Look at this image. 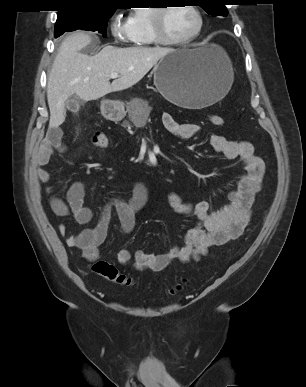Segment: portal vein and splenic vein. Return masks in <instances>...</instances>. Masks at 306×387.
I'll return each instance as SVG.
<instances>
[{"label": "portal vein and splenic vein", "mask_w": 306, "mask_h": 387, "mask_svg": "<svg viewBox=\"0 0 306 387\" xmlns=\"http://www.w3.org/2000/svg\"><path fill=\"white\" fill-rule=\"evenodd\" d=\"M109 77L112 79H116L119 77V74L118 73H111Z\"/></svg>", "instance_id": "portal-vein-and-splenic-vein-1"}]
</instances>
